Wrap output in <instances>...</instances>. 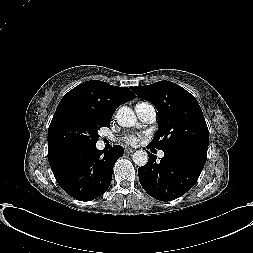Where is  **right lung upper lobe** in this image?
<instances>
[{
  "instance_id": "obj_1",
  "label": "right lung upper lobe",
  "mask_w": 253,
  "mask_h": 253,
  "mask_svg": "<svg viewBox=\"0 0 253 253\" xmlns=\"http://www.w3.org/2000/svg\"><path fill=\"white\" fill-rule=\"evenodd\" d=\"M135 97L127 87L112 86L98 80L86 81L64 95L52 121L64 112L77 111L111 122L117 107Z\"/></svg>"
}]
</instances>
